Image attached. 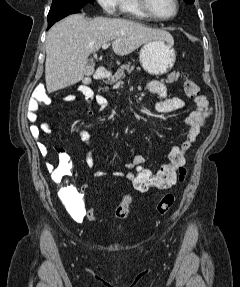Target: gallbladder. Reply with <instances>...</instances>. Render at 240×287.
<instances>
[{
	"label": "gallbladder",
	"instance_id": "bac80fb5",
	"mask_svg": "<svg viewBox=\"0 0 240 287\" xmlns=\"http://www.w3.org/2000/svg\"><path fill=\"white\" fill-rule=\"evenodd\" d=\"M94 72V64L93 63H89L87 66H86V69H85V76H90L92 75Z\"/></svg>",
	"mask_w": 240,
	"mask_h": 287
}]
</instances>
